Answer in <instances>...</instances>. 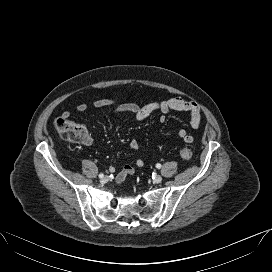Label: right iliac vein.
I'll return each mask as SVG.
<instances>
[{"mask_svg": "<svg viewBox=\"0 0 272 272\" xmlns=\"http://www.w3.org/2000/svg\"><path fill=\"white\" fill-rule=\"evenodd\" d=\"M108 180H109V177L105 176V177L101 178V183H106V182H108Z\"/></svg>", "mask_w": 272, "mask_h": 272, "instance_id": "1", "label": "right iliac vein"}]
</instances>
